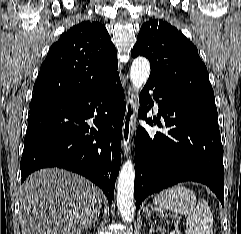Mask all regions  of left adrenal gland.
<instances>
[{"label":"left adrenal gland","mask_w":241,"mask_h":234,"mask_svg":"<svg viewBox=\"0 0 241 234\" xmlns=\"http://www.w3.org/2000/svg\"><path fill=\"white\" fill-rule=\"evenodd\" d=\"M154 231H155V225L151 224L149 234H152V232H154Z\"/></svg>","instance_id":"a2214340"}]
</instances>
